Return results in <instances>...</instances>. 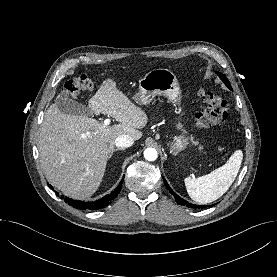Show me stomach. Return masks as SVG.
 <instances>
[{
	"label": "stomach",
	"instance_id": "0dacf381",
	"mask_svg": "<svg viewBox=\"0 0 277 277\" xmlns=\"http://www.w3.org/2000/svg\"><path fill=\"white\" fill-rule=\"evenodd\" d=\"M162 95L173 103L178 104L181 100V91L176 76L168 69H154L149 71L139 81V92L133 97L140 105L149 104L155 96ZM178 114L184 116L181 108ZM188 145V140L184 136L175 137L170 145V153L177 154Z\"/></svg>",
	"mask_w": 277,
	"mask_h": 277
}]
</instances>
